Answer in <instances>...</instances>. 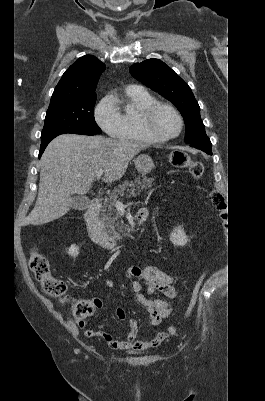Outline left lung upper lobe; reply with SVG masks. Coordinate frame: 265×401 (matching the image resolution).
Segmentation results:
<instances>
[{
    "instance_id": "5c2ea615",
    "label": "left lung upper lobe",
    "mask_w": 265,
    "mask_h": 401,
    "mask_svg": "<svg viewBox=\"0 0 265 401\" xmlns=\"http://www.w3.org/2000/svg\"><path fill=\"white\" fill-rule=\"evenodd\" d=\"M129 70L134 78L178 108L186 125V143L207 137L200 117V107L191 88L170 67L161 60L149 59L132 65Z\"/></svg>"
}]
</instances>
